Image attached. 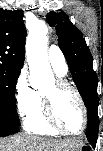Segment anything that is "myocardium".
Masks as SVG:
<instances>
[{
	"label": "myocardium",
	"instance_id": "f54148a6",
	"mask_svg": "<svg viewBox=\"0 0 103 151\" xmlns=\"http://www.w3.org/2000/svg\"><path fill=\"white\" fill-rule=\"evenodd\" d=\"M54 83H55L56 90L58 91L70 90L71 92L74 93L82 109L83 125H82V128L78 131H70L64 128L63 126H61L55 116V107H54L53 97L45 93H42L43 111H44V118H45L46 123L51 129L59 133H63L67 135H80L84 133L88 126L89 116H88L86 103L81 93L75 86H73L72 84H70L64 79H57Z\"/></svg>",
	"mask_w": 103,
	"mask_h": 151
}]
</instances>
